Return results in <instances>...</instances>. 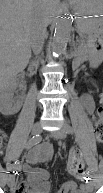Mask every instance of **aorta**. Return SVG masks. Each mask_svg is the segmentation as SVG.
<instances>
[{
  "mask_svg": "<svg viewBox=\"0 0 103 193\" xmlns=\"http://www.w3.org/2000/svg\"><path fill=\"white\" fill-rule=\"evenodd\" d=\"M71 18L67 7L62 6L55 23L52 51L55 56L63 53L71 33Z\"/></svg>",
  "mask_w": 103,
  "mask_h": 193,
  "instance_id": "aorta-1",
  "label": "aorta"
}]
</instances>
